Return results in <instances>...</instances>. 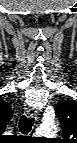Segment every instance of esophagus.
<instances>
[{
	"mask_svg": "<svg viewBox=\"0 0 77 143\" xmlns=\"http://www.w3.org/2000/svg\"><path fill=\"white\" fill-rule=\"evenodd\" d=\"M37 110L34 108H25V114L27 117H35L37 115Z\"/></svg>",
	"mask_w": 77,
	"mask_h": 143,
	"instance_id": "esophagus-1",
	"label": "esophagus"
}]
</instances>
